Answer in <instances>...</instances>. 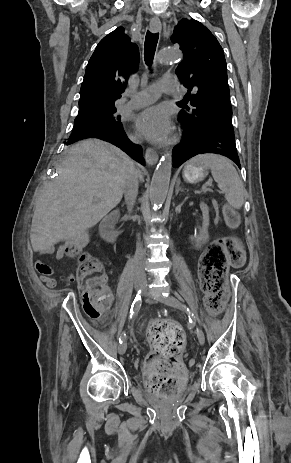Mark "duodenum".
Returning <instances> with one entry per match:
<instances>
[{
	"label": "duodenum",
	"instance_id": "duodenum-1",
	"mask_svg": "<svg viewBox=\"0 0 291 463\" xmlns=\"http://www.w3.org/2000/svg\"><path fill=\"white\" fill-rule=\"evenodd\" d=\"M120 212L114 209L111 214L107 215L100 224L101 235L104 240L110 244H115L119 234L115 228V224L118 221Z\"/></svg>",
	"mask_w": 291,
	"mask_h": 463
}]
</instances>
